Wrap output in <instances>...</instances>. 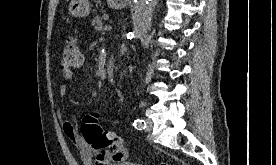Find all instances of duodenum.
<instances>
[{
    "instance_id": "410a0bca",
    "label": "duodenum",
    "mask_w": 276,
    "mask_h": 165,
    "mask_svg": "<svg viewBox=\"0 0 276 165\" xmlns=\"http://www.w3.org/2000/svg\"><path fill=\"white\" fill-rule=\"evenodd\" d=\"M106 76L109 80H113L116 73L115 64L112 61H109L105 66Z\"/></svg>"
}]
</instances>
